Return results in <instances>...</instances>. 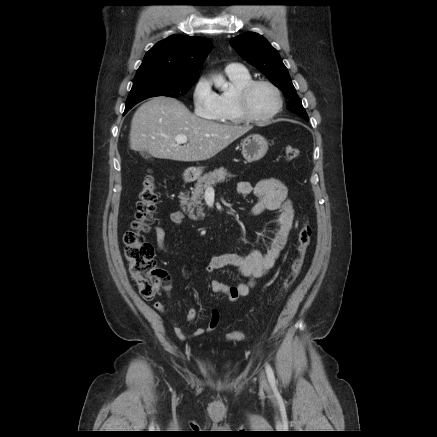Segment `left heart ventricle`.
<instances>
[{
	"label": "left heart ventricle",
	"instance_id": "left-heart-ventricle-1",
	"mask_svg": "<svg viewBox=\"0 0 437 437\" xmlns=\"http://www.w3.org/2000/svg\"><path fill=\"white\" fill-rule=\"evenodd\" d=\"M276 106V95L270 87L259 85L251 93L250 109L254 115L267 116L274 111Z\"/></svg>",
	"mask_w": 437,
	"mask_h": 437
}]
</instances>
